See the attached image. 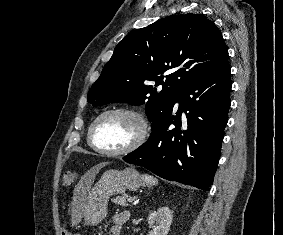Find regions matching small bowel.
I'll list each match as a JSON object with an SVG mask.
<instances>
[{
	"mask_svg": "<svg viewBox=\"0 0 283 235\" xmlns=\"http://www.w3.org/2000/svg\"><path fill=\"white\" fill-rule=\"evenodd\" d=\"M129 213L124 211L116 214L109 228V235H120L123 225L128 221ZM76 235V234H74Z\"/></svg>",
	"mask_w": 283,
	"mask_h": 235,
	"instance_id": "obj_1",
	"label": "small bowel"
}]
</instances>
